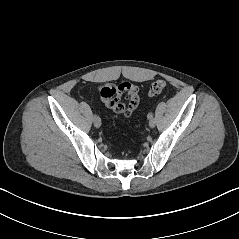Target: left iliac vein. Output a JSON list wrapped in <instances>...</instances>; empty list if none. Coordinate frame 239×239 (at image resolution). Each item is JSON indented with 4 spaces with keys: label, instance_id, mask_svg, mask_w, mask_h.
I'll use <instances>...</instances> for the list:
<instances>
[{
    "label": "left iliac vein",
    "instance_id": "obj_1",
    "mask_svg": "<svg viewBox=\"0 0 239 239\" xmlns=\"http://www.w3.org/2000/svg\"><path fill=\"white\" fill-rule=\"evenodd\" d=\"M155 125H156L155 119H154V118L150 119V120H149V126H150L151 128H154Z\"/></svg>",
    "mask_w": 239,
    "mask_h": 239
}]
</instances>
